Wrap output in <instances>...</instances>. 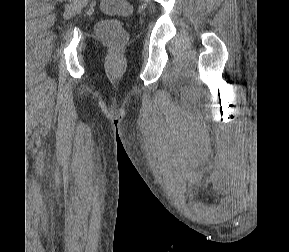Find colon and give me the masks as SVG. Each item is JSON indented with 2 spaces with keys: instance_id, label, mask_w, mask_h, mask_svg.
Wrapping results in <instances>:
<instances>
[{
  "instance_id": "obj_1",
  "label": "colon",
  "mask_w": 289,
  "mask_h": 252,
  "mask_svg": "<svg viewBox=\"0 0 289 252\" xmlns=\"http://www.w3.org/2000/svg\"><path fill=\"white\" fill-rule=\"evenodd\" d=\"M101 10L107 15L129 16L132 7L126 0H102ZM96 33L106 43L120 47L127 40V33L122 23L117 19L102 20L97 24Z\"/></svg>"
}]
</instances>
